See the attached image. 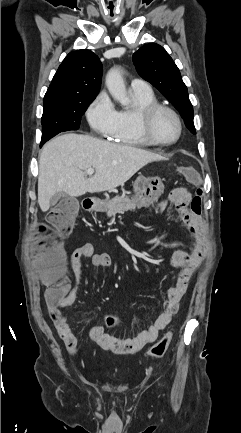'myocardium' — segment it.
I'll use <instances>...</instances> for the list:
<instances>
[{
	"label": "myocardium",
	"instance_id": "1",
	"mask_svg": "<svg viewBox=\"0 0 241 433\" xmlns=\"http://www.w3.org/2000/svg\"><path fill=\"white\" fill-rule=\"evenodd\" d=\"M162 111L168 112L172 115V117L175 119L177 126H178V133L175 139L169 142H163L158 140L152 131V125L154 122L155 117ZM138 122H139V128L141 131V134L145 138V140L155 146H171L179 141L182 135L183 131V125L181 118L179 114L171 107L160 104V103H154L147 105L145 107H142L138 112Z\"/></svg>",
	"mask_w": 241,
	"mask_h": 433
}]
</instances>
